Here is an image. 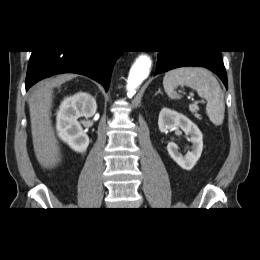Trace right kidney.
<instances>
[{
	"instance_id": "ca27d5eb",
	"label": "right kidney",
	"mask_w": 260,
	"mask_h": 260,
	"mask_svg": "<svg viewBox=\"0 0 260 260\" xmlns=\"http://www.w3.org/2000/svg\"><path fill=\"white\" fill-rule=\"evenodd\" d=\"M96 110L95 99L87 93L67 97L59 107L56 118L58 136L78 153H84L89 145V137L78 122V118L92 117Z\"/></svg>"
}]
</instances>
